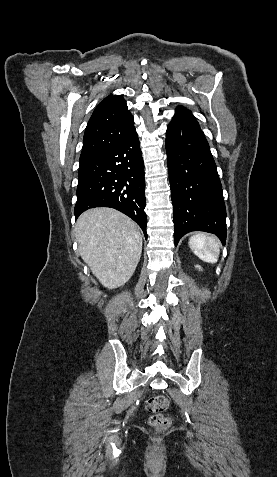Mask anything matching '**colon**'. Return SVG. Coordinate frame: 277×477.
<instances>
[{
    "mask_svg": "<svg viewBox=\"0 0 277 477\" xmlns=\"http://www.w3.org/2000/svg\"><path fill=\"white\" fill-rule=\"evenodd\" d=\"M169 406V400L163 395H156L146 401L145 409L149 413L148 423L157 431H164L171 425L169 417L164 415V411Z\"/></svg>",
    "mask_w": 277,
    "mask_h": 477,
    "instance_id": "5ec220e1",
    "label": "colon"
}]
</instances>
